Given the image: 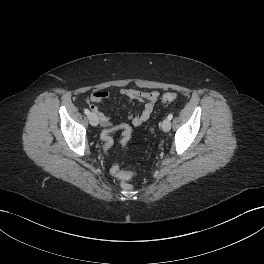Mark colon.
I'll list each match as a JSON object with an SVG mask.
<instances>
[{"label": "colon", "mask_w": 264, "mask_h": 264, "mask_svg": "<svg viewBox=\"0 0 264 264\" xmlns=\"http://www.w3.org/2000/svg\"><path fill=\"white\" fill-rule=\"evenodd\" d=\"M176 99H177V94L173 93V92H167V93L163 94V96H162V102H164V103L173 102ZM112 133H113V131H111V130H105L101 134V140L103 143V147L106 150L110 149L114 143ZM122 136L124 137V142L126 145L130 139L131 133L128 131H125L122 133ZM133 175H134L133 172H127V171H123L120 169L116 170L114 173V176L116 178H118L119 180H121V188L123 190H126V191L132 190V185L130 183H128V180H130L133 177Z\"/></svg>", "instance_id": "colon-1"}]
</instances>
